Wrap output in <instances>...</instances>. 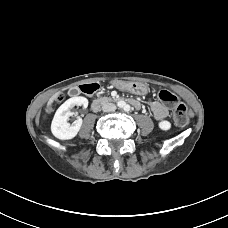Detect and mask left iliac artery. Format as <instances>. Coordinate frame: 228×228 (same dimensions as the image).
<instances>
[{"label": "left iliac artery", "instance_id": "1", "mask_svg": "<svg viewBox=\"0 0 228 228\" xmlns=\"http://www.w3.org/2000/svg\"><path fill=\"white\" fill-rule=\"evenodd\" d=\"M125 110L128 111V110H129V106H126V107H125Z\"/></svg>", "mask_w": 228, "mask_h": 228}]
</instances>
